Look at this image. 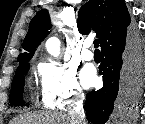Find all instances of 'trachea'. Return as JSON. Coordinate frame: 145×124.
<instances>
[{
    "label": "trachea",
    "mask_w": 145,
    "mask_h": 124,
    "mask_svg": "<svg viewBox=\"0 0 145 124\" xmlns=\"http://www.w3.org/2000/svg\"><path fill=\"white\" fill-rule=\"evenodd\" d=\"M98 46H99V40H98V39H95V40H94V47H95V49H96L95 51H99V50H98Z\"/></svg>",
    "instance_id": "obj_1"
}]
</instances>
